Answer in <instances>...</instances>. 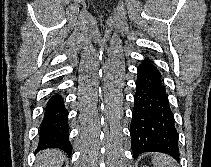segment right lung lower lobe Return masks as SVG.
<instances>
[{
  "label": "right lung lower lobe",
  "mask_w": 211,
  "mask_h": 167,
  "mask_svg": "<svg viewBox=\"0 0 211 167\" xmlns=\"http://www.w3.org/2000/svg\"><path fill=\"white\" fill-rule=\"evenodd\" d=\"M68 137V111L63 97L56 92L49 97L45 106L40 125L38 150L59 148L69 155L72 152V146Z\"/></svg>",
  "instance_id": "98d812e1"
}]
</instances>
